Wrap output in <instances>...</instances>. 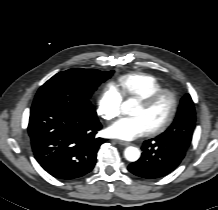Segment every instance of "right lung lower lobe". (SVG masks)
<instances>
[{
	"label": "right lung lower lobe",
	"instance_id": "1",
	"mask_svg": "<svg viewBox=\"0 0 218 210\" xmlns=\"http://www.w3.org/2000/svg\"><path fill=\"white\" fill-rule=\"evenodd\" d=\"M101 128L96 114L45 103L31 108L28 133L41 167L57 179L70 180L95 166L103 142L95 134Z\"/></svg>",
	"mask_w": 218,
	"mask_h": 210
}]
</instances>
